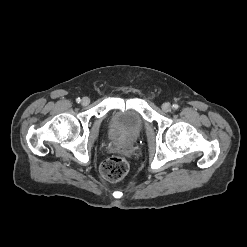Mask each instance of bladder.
I'll use <instances>...</instances> for the list:
<instances>
[{
  "instance_id": "bladder-1",
  "label": "bladder",
  "mask_w": 247,
  "mask_h": 247,
  "mask_svg": "<svg viewBox=\"0 0 247 247\" xmlns=\"http://www.w3.org/2000/svg\"><path fill=\"white\" fill-rule=\"evenodd\" d=\"M144 128V120L133 108L115 111L109 121V131L113 138L136 139Z\"/></svg>"
}]
</instances>
